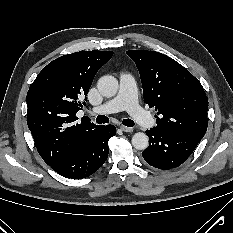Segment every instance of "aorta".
<instances>
[{"label":"aorta","mask_w":233,"mask_h":233,"mask_svg":"<svg viewBox=\"0 0 233 233\" xmlns=\"http://www.w3.org/2000/svg\"><path fill=\"white\" fill-rule=\"evenodd\" d=\"M118 80L113 76H103L97 82V88L101 95L113 97L118 91ZM132 145L137 150H145L149 145V138L143 132L135 133L132 137Z\"/></svg>","instance_id":"762f6f07"}]
</instances>
